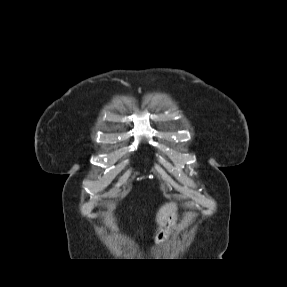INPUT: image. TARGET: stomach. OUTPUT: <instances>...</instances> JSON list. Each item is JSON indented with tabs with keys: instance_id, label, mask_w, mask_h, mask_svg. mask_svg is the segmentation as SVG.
Instances as JSON below:
<instances>
[{
	"instance_id": "0dacf381",
	"label": "stomach",
	"mask_w": 287,
	"mask_h": 287,
	"mask_svg": "<svg viewBox=\"0 0 287 287\" xmlns=\"http://www.w3.org/2000/svg\"><path fill=\"white\" fill-rule=\"evenodd\" d=\"M175 224V216H171L166 220L163 227L159 230L155 237L156 244H163L170 236Z\"/></svg>"
}]
</instances>
